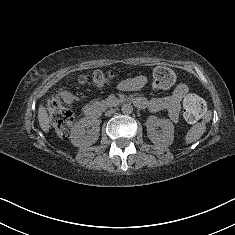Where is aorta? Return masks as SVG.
Instances as JSON below:
<instances>
[{"instance_id": "aorta-1", "label": "aorta", "mask_w": 235, "mask_h": 235, "mask_svg": "<svg viewBox=\"0 0 235 235\" xmlns=\"http://www.w3.org/2000/svg\"><path fill=\"white\" fill-rule=\"evenodd\" d=\"M121 111L125 115H129L133 112V106L131 104L125 103L121 107Z\"/></svg>"}]
</instances>
